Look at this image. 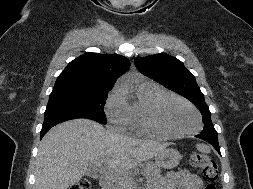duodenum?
Segmentation results:
<instances>
[{"label":"duodenum","instance_id":"duodenum-1","mask_svg":"<svg viewBox=\"0 0 253 189\" xmlns=\"http://www.w3.org/2000/svg\"><path fill=\"white\" fill-rule=\"evenodd\" d=\"M102 189H111L113 184V176L111 173H105L100 179Z\"/></svg>","mask_w":253,"mask_h":189}]
</instances>
